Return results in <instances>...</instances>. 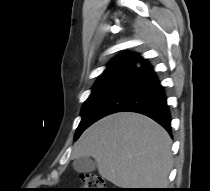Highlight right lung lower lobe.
Segmentation results:
<instances>
[{"label":"right lung lower lobe","instance_id":"1","mask_svg":"<svg viewBox=\"0 0 210 191\" xmlns=\"http://www.w3.org/2000/svg\"><path fill=\"white\" fill-rule=\"evenodd\" d=\"M121 111L144 114L171 132V113L164 87L152 67L139 55L130 59L122 75L99 106L95 121Z\"/></svg>","mask_w":210,"mask_h":191}]
</instances>
